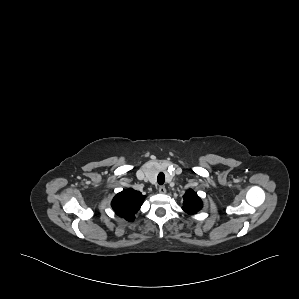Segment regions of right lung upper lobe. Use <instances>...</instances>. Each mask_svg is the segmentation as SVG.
Listing matches in <instances>:
<instances>
[{
  "mask_svg": "<svg viewBox=\"0 0 299 299\" xmlns=\"http://www.w3.org/2000/svg\"><path fill=\"white\" fill-rule=\"evenodd\" d=\"M145 196L139 191L125 189L118 193L112 200V208L116 214L131 222L135 219V214L140 209Z\"/></svg>",
  "mask_w": 299,
  "mask_h": 299,
  "instance_id": "1",
  "label": "right lung upper lobe"
}]
</instances>
